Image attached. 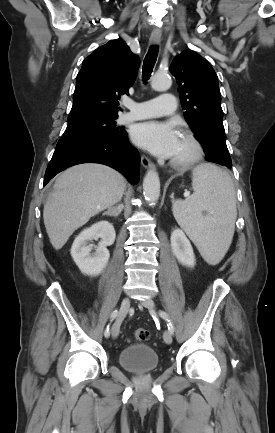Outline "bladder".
Returning <instances> with one entry per match:
<instances>
[{
  "label": "bladder",
  "mask_w": 275,
  "mask_h": 433,
  "mask_svg": "<svg viewBox=\"0 0 275 433\" xmlns=\"http://www.w3.org/2000/svg\"><path fill=\"white\" fill-rule=\"evenodd\" d=\"M119 365L126 371L140 374L159 367V357L148 344L133 343L124 347L118 355Z\"/></svg>",
  "instance_id": "obj_1"
}]
</instances>
